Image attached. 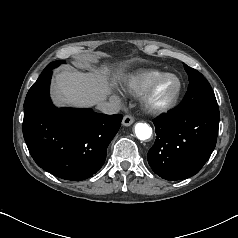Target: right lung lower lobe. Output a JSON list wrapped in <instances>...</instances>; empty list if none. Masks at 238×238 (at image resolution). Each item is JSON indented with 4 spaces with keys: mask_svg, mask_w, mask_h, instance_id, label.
I'll return each mask as SVG.
<instances>
[{
    "mask_svg": "<svg viewBox=\"0 0 238 238\" xmlns=\"http://www.w3.org/2000/svg\"><path fill=\"white\" fill-rule=\"evenodd\" d=\"M53 68L47 66L27 93L23 136L39 167L59 178L81 181L103 166L122 115L56 108L49 97Z\"/></svg>",
    "mask_w": 238,
    "mask_h": 238,
    "instance_id": "obj_1",
    "label": "right lung lower lobe"
}]
</instances>
